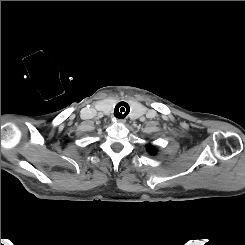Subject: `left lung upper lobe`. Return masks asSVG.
I'll use <instances>...</instances> for the list:
<instances>
[{
    "instance_id": "left-lung-upper-lobe-1",
    "label": "left lung upper lobe",
    "mask_w": 245,
    "mask_h": 245,
    "mask_svg": "<svg viewBox=\"0 0 245 245\" xmlns=\"http://www.w3.org/2000/svg\"><path fill=\"white\" fill-rule=\"evenodd\" d=\"M149 151L152 152V153H154L155 150H152V148H149Z\"/></svg>"
}]
</instances>
